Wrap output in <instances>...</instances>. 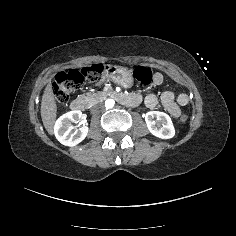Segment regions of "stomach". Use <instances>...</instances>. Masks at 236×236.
<instances>
[{
  "instance_id": "1",
  "label": "stomach",
  "mask_w": 236,
  "mask_h": 236,
  "mask_svg": "<svg viewBox=\"0 0 236 236\" xmlns=\"http://www.w3.org/2000/svg\"><path fill=\"white\" fill-rule=\"evenodd\" d=\"M107 80L128 89L134 85L133 71L127 67L116 65L105 66Z\"/></svg>"
}]
</instances>
